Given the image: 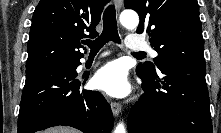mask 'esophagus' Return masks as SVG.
<instances>
[{"label":"esophagus","instance_id":"34e87169","mask_svg":"<svg viewBox=\"0 0 221 133\" xmlns=\"http://www.w3.org/2000/svg\"><path fill=\"white\" fill-rule=\"evenodd\" d=\"M122 0H115L116 9L119 11L122 7ZM111 109L114 116H118L121 112V105L117 102H111Z\"/></svg>","mask_w":221,"mask_h":133}]
</instances>
